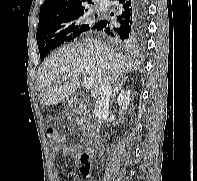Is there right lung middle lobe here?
<instances>
[{"label": "right lung middle lobe", "mask_w": 197, "mask_h": 181, "mask_svg": "<svg viewBox=\"0 0 197 181\" xmlns=\"http://www.w3.org/2000/svg\"><path fill=\"white\" fill-rule=\"evenodd\" d=\"M97 21V15H92L88 7L40 20L36 33L40 58L43 59L51 50L92 29Z\"/></svg>", "instance_id": "obj_1"}]
</instances>
